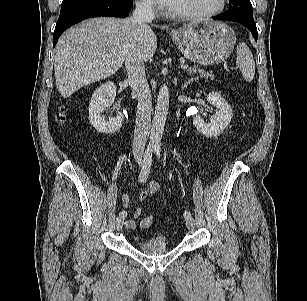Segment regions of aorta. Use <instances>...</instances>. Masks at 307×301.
Wrapping results in <instances>:
<instances>
[{
	"label": "aorta",
	"instance_id": "1",
	"mask_svg": "<svg viewBox=\"0 0 307 301\" xmlns=\"http://www.w3.org/2000/svg\"><path fill=\"white\" fill-rule=\"evenodd\" d=\"M169 108V90L164 84L161 86L158 97L157 104L155 107V114L152 121V128L150 132L149 146L151 148H160L161 139L164 132V126L168 114Z\"/></svg>",
	"mask_w": 307,
	"mask_h": 301
}]
</instances>
